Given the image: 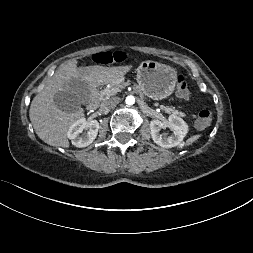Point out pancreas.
I'll list each match as a JSON object with an SVG mask.
<instances>
[{
	"instance_id": "pancreas-1",
	"label": "pancreas",
	"mask_w": 253,
	"mask_h": 253,
	"mask_svg": "<svg viewBox=\"0 0 253 253\" xmlns=\"http://www.w3.org/2000/svg\"><path fill=\"white\" fill-rule=\"evenodd\" d=\"M125 86H126V83L124 81H120L118 83H111L108 88H105L100 92V95L102 98H105V99L109 98L113 95H116ZM161 108L163 109L165 113L178 115L180 117H185V114L183 112L178 111L174 109L173 107L161 106Z\"/></svg>"
}]
</instances>
